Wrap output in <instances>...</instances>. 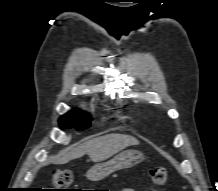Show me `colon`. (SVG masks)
I'll return each instance as SVG.
<instances>
[{"label": "colon", "instance_id": "colon-1", "mask_svg": "<svg viewBox=\"0 0 218 191\" xmlns=\"http://www.w3.org/2000/svg\"><path fill=\"white\" fill-rule=\"evenodd\" d=\"M73 172L68 169L57 170L53 174V191H73L68 187L73 182ZM150 181L156 185H164L167 181V171L163 167L153 168L149 171Z\"/></svg>", "mask_w": 218, "mask_h": 191}]
</instances>
